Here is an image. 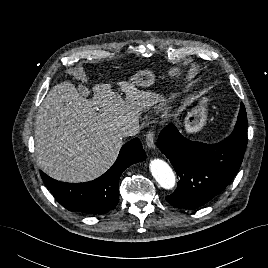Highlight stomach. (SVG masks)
Segmentation results:
<instances>
[{
    "mask_svg": "<svg viewBox=\"0 0 268 268\" xmlns=\"http://www.w3.org/2000/svg\"><path fill=\"white\" fill-rule=\"evenodd\" d=\"M183 74V70L180 67H172L168 71V75L171 78H180ZM155 80L154 74L150 70L139 71L130 77L129 83L136 87L147 88L150 87ZM208 99L204 97L200 102L199 106L190 110L184 120L185 130L188 133H195L200 131L206 123L207 112L206 103Z\"/></svg>",
    "mask_w": 268,
    "mask_h": 268,
    "instance_id": "stomach-1",
    "label": "stomach"
}]
</instances>
